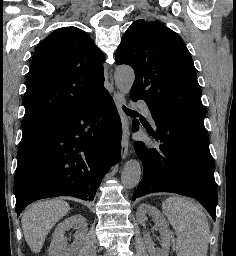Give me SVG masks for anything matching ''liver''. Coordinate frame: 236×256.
<instances>
[{
    "instance_id": "1",
    "label": "liver",
    "mask_w": 236,
    "mask_h": 256,
    "mask_svg": "<svg viewBox=\"0 0 236 256\" xmlns=\"http://www.w3.org/2000/svg\"><path fill=\"white\" fill-rule=\"evenodd\" d=\"M69 210L61 198L37 202L25 210L21 220L24 238L34 254L41 252L50 230Z\"/></svg>"
}]
</instances>
